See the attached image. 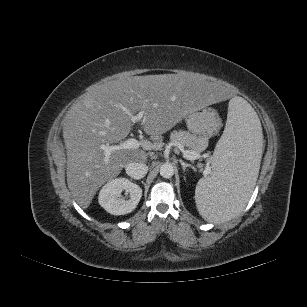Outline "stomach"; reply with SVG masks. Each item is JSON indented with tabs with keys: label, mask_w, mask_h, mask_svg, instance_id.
<instances>
[{
	"label": "stomach",
	"mask_w": 307,
	"mask_h": 307,
	"mask_svg": "<svg viewBox=\"0 0 307 307\" xmlns=\"http://www.w3.org/2000/svg\"><path fill=\"white\" fill-rule=\"evenodd\" d=\"M185 121L190 132L206 136H212L221 126L218 113L211 108L195 110L186 116Z\"/></svg>",
	"instance_id": "obj_1"
}]
</instances>
